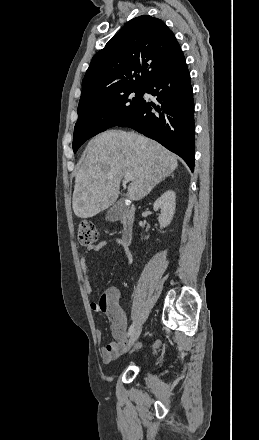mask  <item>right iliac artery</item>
I'll return each mask as SVG.
<instances>
[{
    "instance_id": "1",
    "label": "right iliac artery",
    "mask_w": 259,
    "mask_h": 440,
    "mask_svg": "<svg viewBox=\"0 0 259 440\" xmlns=\"http://www.w3.org/2000/svg\"><path fill=\"white\" fill-rule=\"evenodd\" d=\"M133 330H134V323L130 326V328H129V330H128V334H127L128 337L132 335Z\"/></svg>"
}]
</instances>
